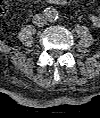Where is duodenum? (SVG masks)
<instances>
[{"mask_svg":"<svg viewBox=\"0 0 100 118\" xmlns=\"http://www.w3.org/2000/svg\"><path fill=\"white\" fill-rule=\"evenodd\" d=\"M51 4H63L66 3V0H49Z\"/></svg>","mask_w":100,"mask_h":118,"instance_id":"410a0bca","label":"duodenum"}]
</instances>
